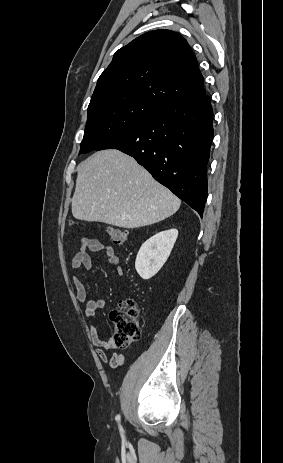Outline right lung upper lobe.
I'll use <instances>...</instances> for the list:
<instances>
[{"mask_svg": "<svg viewBox=\"0 0 283 463\" xmlns=\"http://www.w3.org/2000/svg\"><path fill=\"white\" fill-rule=\"evenodd\" d=\"M114 91L147 99L160 108L205 93L195 55L187 41L170 30L145 33L114 54L92 98Z\"/></svg>", "mask_w": 283, "mask_h": 463, "instance_id": "1", "label": "right lung upper lobe"}]
</instances>
